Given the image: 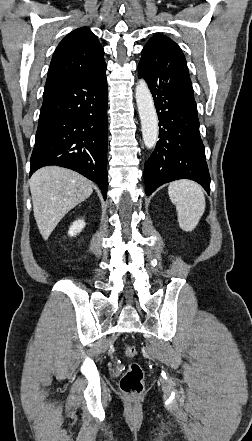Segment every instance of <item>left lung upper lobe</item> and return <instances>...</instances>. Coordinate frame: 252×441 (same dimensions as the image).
Listing matches in <instances>:
<instances>
[{
	"label": "left lung upper lobe",
	"instance_id": "1",
	"mask_svg": "<svg viewBox=\"0 0 252 441\" xmlns=\"http://www.w3.org/2000/svg\"><path fill=\"white\" fill-rule=\"evenodd\" d=\"M163 43H173V44H176L170 38H167V37L162 36V35H154L153 37L150 38V40L145 45L143 50L151 49L154 46L159 45V44H163Z\"/></svg>",
	"mask_w": 252,
	"mask_h": 441
}]
</instances>
